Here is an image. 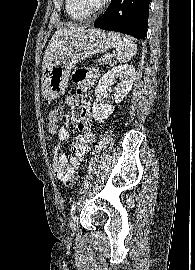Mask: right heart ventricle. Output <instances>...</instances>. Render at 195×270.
Here are the masks:
<instances>
[{
  "instance_id": "right-heart-ventricle-1",
  "label": "right heart ventricle",
  "mask_w": 195,
  "mask_h": 270,
  "mask_svg": "<svg viewBox=\"0 0 195 270\" xmlns=\"http://www.w3.org/2000/svg\"><path fill=\"white\" fill-rule=\"evenodd\" d=\"M65 10L70 18L73 20L81 21L85 20L88 17L79 13L73 6L72 0H65Z\"/></svg>"
}]
</instances>
